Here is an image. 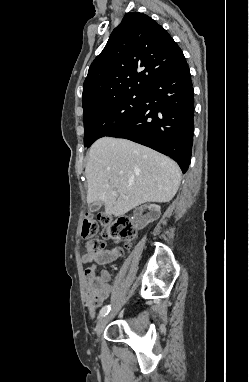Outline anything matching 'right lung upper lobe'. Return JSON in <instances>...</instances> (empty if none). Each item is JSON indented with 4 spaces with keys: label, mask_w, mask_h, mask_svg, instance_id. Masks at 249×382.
Here are the masks:
<instances>
[{
    "label": "right lung upper lobe",
    "mask_w": 249,
    "mask_h": 382,
    "mask_svg": "<svg viewBox=\"0 0 249 382\" xmlns=\"http://www.w3.org/2000/svg\"><path fill=\"white\" fill-rule=\"evenodd\" d=\"M184 60L181 49L162 26L143 13H128L89 68L82 106L145 90Z\"/></svg>",
    "instance_id": "cb5924a9"
}]
</instances>
